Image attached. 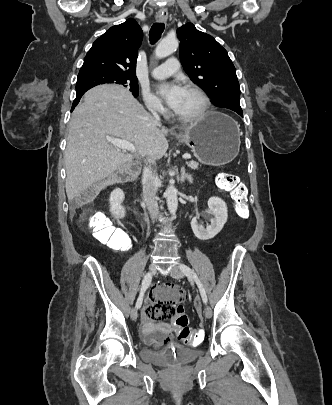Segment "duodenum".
Returning a JSON list of instances; mask_svg holds the SVG:
<instances>
[{
	"label": "duodenum",
	"instance_id": "duodenum-1",
	"mask_svg": "<svg viewBox=\"0 0 332 405\" xmlns=\"http://www.w3.org/2000/svg\"><path fill=\"white\" fill-rule=\"evenodd\" d=\"M135 176V170L134 168L129 169L126 172H122L118 176V181L120 183H125L131 181Z\"/></svg>",
	"mask_w": 332,
	"mask_h": 405
}]
</instances>
